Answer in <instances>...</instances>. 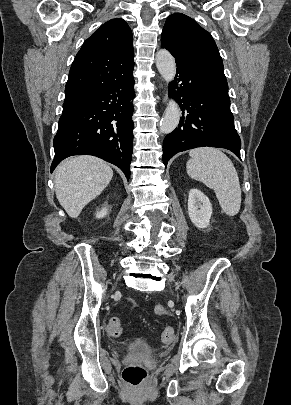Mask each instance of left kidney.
Masks as SVG:
<instances>
[{"mask_svg": "<svg viewBox=\"0 0 291 405\" xmlns=\"http://www.w3.org/2000/svg\"><path fill=\"white\" fill-rule=\"evenodd\" d=\"M188 215L197 228L203 229L209 225L212 205L209 198L196 188L189 192Z\"/></svg>", "mask_w": 291, "mask_h": 405, "instance_id": "5707ae66", "label": "left kidney"}]
</instances>
